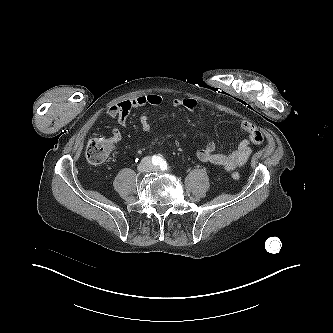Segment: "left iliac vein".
Masks as SVG:
<instances>
[{
    "instance_id": "left-iliac-vein-1",
    "label": "left iliac vein",
    "mask_w": 333,
    "mask_h": 333,
    "mask_svg": "<svg viewBox=\"0 0 333 333\" xmlns=\"http://www.w3.org/2000/svg\"><path fill=\"white\" fill-rule=\"evenodd\" d=\"M152 170H154V171H157V170H158V168H157V167H155V166H153V167H152Z\"/></svg>"
}]
</instances>
